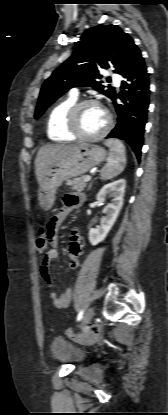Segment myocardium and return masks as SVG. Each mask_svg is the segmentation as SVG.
<instances>
[{
  "label": "myocardium",
  "instance_id": "f54148a6",
  "mask_svg": "<svg viewBox=\"0 0 168 415\" xmlns=\"http://www.w3.org/2000/svg\"><path fill=\"white\" fill-rule=\"evenodd\" d=\"M89 104L100 105V103L95 99H83V100L77 101L70 108L68 115H67V128L69 132L74 137L81 139V140H86V141L97 140V139L104 137L111 129L112 122H113L111 114L106 110L105 112L107 115V121L103 129L99 131L98 133L91 134V135L83 133L79 126V114L82 108Z\"/></svg>",
  "mask_w": 168,
  "mask_h": 415
}]
</instances>
